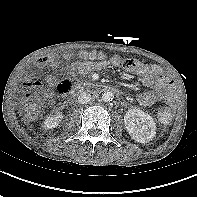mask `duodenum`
<instances>
[{"label": "duodenum", "instance_id": "obj_1", "mask_svg": "<svg viewBox=\"0 0 197 197\" xmlns=\"http://www.w3.org/2000/svg\"><path fill=\"white\" fill-rule=\"evenodd\" d=\"M85 90H87L88 92H92V93H100V92H106V91H114V92H117L119 93L120 90L118 88H114V87H111L109 85H91V86H88V87H77L75 88L74 92L75 93H82L84 92Z\"/></svg>", "mask_w": 197, "mask_h": 197}]
</instances>
